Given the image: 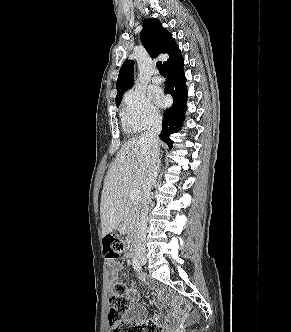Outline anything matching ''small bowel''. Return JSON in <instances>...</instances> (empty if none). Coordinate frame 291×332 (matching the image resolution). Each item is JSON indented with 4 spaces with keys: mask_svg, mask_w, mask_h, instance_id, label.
Listing matches in <instances>:
<instances>
[{
    "mask_svg": "<svg viewBox=\"0 0 291 332\" xmlns=\"http://www.w3.org/2000/svg\"><path fill=\"white\" fill-rule=\"evenodd\" d=\"M109 264L111 267L110 273H109V278H110L111 282H115L118 278L119 272L122 270V265L115 260H110ZM141 278L143 279L142 276H141ZM155 301L158 304H161L163 302L162 291L158 288H155ZM131 302H132V307H131V314L129 317V321L136 322V323L142 322V318L146 314L145 309L137 302V299L135 296H133L131 298ZM173 307H174V312H173L174 320L177 322H183L184 318H185L183 312L178 309L176 304H173ZM159 319H160V316L158 314H154L152 316L153 321H158Z\"/></svg>",
    "mask_w": 291,
    "mask_h": 332,
    "instance_id": "c3829d8e",
    "label": "small bowel"
}]
</instances>
